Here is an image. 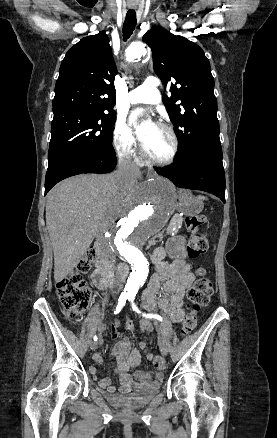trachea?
<instances>
[{"mask_svg":"<svg viewBox=\"0 0 277 438\" xmlns=\"http://www.w3.org/2000/svg\"><path fill=\"white\" fill-rule=\"evenodd\" d=\"M136 12L133 9L128 10L123 24V40L126 41L132 35L136 27Z\"/></svg>","mask_w":277,"mask_h":438,"instance_id":"trachea-1","label":"trachea"}]
</instances>
